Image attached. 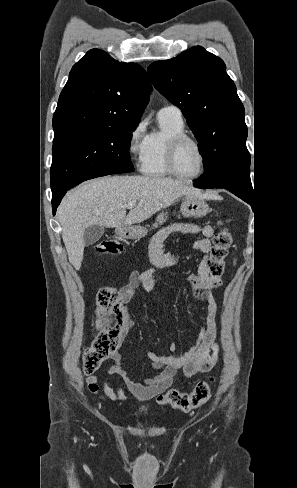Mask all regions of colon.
<instances>
[{
	"mask_svg": "<svg viewBox=\"0 0 297 488\" xmlns=\"http://www.w3.org/2000/svg\"><path fill=\"white\" fill-rule=\"evenodd\" d=\"M219 226L220 230L213 238V247L207 267L210 278L220 283L232 238L226 228V221H221ZM95 249L98 253L111 255H119L123 250L121 244L112 239L99 242ZM96 305L102 330L83 353V371L86 375L95 372L102 362L118 349L125 324V312L121 307L117 293L113 289H100L96 295ZM213 381V377L209 380L200 381L190 392L170 389L158 397V403L174 409L189 411L210 399Z\"/></svg>",
	"mask_w": 297,
	"mask_h": 488,
	"instance_id": "colon-1",
	"label": "colon"
}]
</instances>
